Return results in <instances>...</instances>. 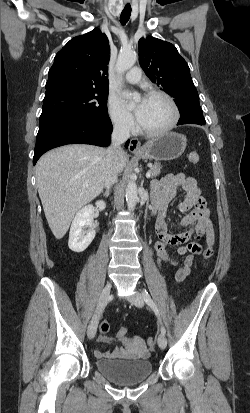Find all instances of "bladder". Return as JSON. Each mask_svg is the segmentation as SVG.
<instances>
[{
    "label": "bladder",
    "instance_id": "31cf9c89",
    "mask_svg": "<svg viewBox=\"0 0 250 413\" xmlns=\"http://www.w3.org/2000/svg\"><path fill=\"white\" fill-rule=\"evenodd\" d=\"M95 366L103 375L120 385H133L148 378L153 366L148 359L98 358Z\"/></svg>",
    "mask_w": 250,
    "mask_h": 413
}]
</instances>
